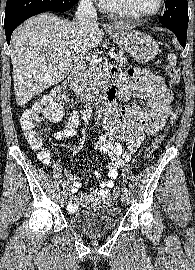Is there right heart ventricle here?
<instances>
[{"mask_svg": "<svg viewBox=\"0 0 195 270\" xmlns=\"http://www.w3.org/2000/svg\"><path fill=\"white\" fill-rule=\"evenodd\" d=\"M101 8L105 12L115 16L135 19V17L125 9L120 0H104Z\"/></svg>", "mask_w": 195, "mask_h": 270, "instance_id": "right-heart-ventricle-1", "label": "right heart ventricle"}]
</instances>
